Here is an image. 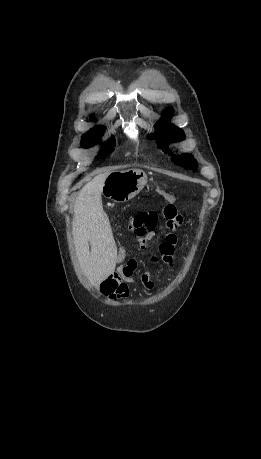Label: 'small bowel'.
Returning <instances> with one entry per match:
<instances>
[{"label":"small bowel","instance_id":"small-bowel-1","mask_svg":"<svg viewBox=\"0 0 261 459\" xmlns=\"http://www.w3.org/2000/svg\"><path fill=\"white\" fill-rule=\"evenodd\" d=\"M129 229L133 230L129 224ZM134 231V230H133ZM138 238V243L142 249H145L147 244L156 238V233L154 231H149L144 234L136 233ZM177 244L176 238H167L165 235L164 240L159 244V253L153 254L150 259L152 262H157L158 260L163 261L169 267L173 266L174 262V251ZM136 270L135 260H129L126 265L118 267L117 271L110 274L106 277L100 284V290L102 294L110 299L124 300L129 297L130 294V284L136 282L133 274ZM139 282L143 288L147 291H150L154 288V278L150 270H143L139 275Z\"/></svg>","mask_w":261,"mask_h":459}]
</instances>
